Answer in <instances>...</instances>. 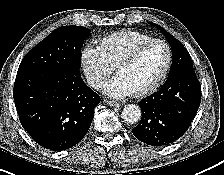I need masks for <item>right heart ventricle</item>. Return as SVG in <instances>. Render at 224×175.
Here are the masks:
<instances>
[{"label":"right heart ventricle","instance_id":"right-heart-ventricle-1","mask_svg":"<svg viewBox=\"0 0 224 175\" xmlns=\"http://www.w3.org/2000/svg\"><path fill=\"white\" fill-rule=\"evenodd\" d=\"M150 39H152V37L143 32L124 30L114 32L102 38L99 43V48L108 61L113 66H116V64L135 47Z\"/></svg>","mask_w":224,"mask_h":175}]
</instances>
